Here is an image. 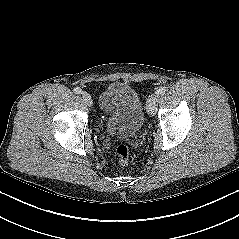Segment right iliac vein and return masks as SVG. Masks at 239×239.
<instances>
[{
    "instance_id": "right-iliac-vein-1",
    "label": "right iliac vein",
    "mask_w": 239,
    "mask_h": 239,
    "mask_svg": "<svg viewBox=\"0 0 239 239\" xmlns=\"http://www.w3.org/2000/svg\"><path fill=\"white\" fill-rule=\"evenodd\" d=\"M81 97L86 105H88V106L92 105L91 96L87 92H82Z\"/></svg>"
}]
</instances>
